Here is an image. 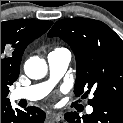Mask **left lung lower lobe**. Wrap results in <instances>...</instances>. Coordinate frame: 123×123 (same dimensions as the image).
Returning a JSON list of instances; mask_svg holds the SVG:
<instances>
[{
  "label": "left lung lower lobe",
  "instance_id": "left-lung-lower-lobe-1",
  "mask_svg": "<svg viewBox=\"0 0 123 123\" xmlns=\"http://www.w3.org/2000/svg\"><path fill=\"white\" fill-rule=\"evenodd\" d=\"M64 117L70 123H123V104L104 101L98 106H93L90 115L80 117L76 112H68Z\"/></svg>",
  "mask_w": 123,
  "mask_h": 123
}]
</instances>
